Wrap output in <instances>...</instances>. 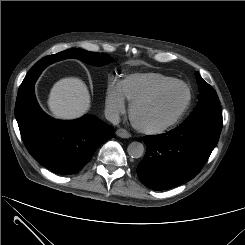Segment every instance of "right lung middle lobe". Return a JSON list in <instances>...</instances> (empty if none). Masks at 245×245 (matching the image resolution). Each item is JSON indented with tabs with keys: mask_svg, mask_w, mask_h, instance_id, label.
<instances>
[{
	"mask_svg": "<svg viewBox=\"0 0 245 245\" xmlns=\"http://www.w3.org/2000/svg\"><path fill=\"white\" fill-rule=\"evenodd\" d=\"M49 56L54 57L56 61L66 58H78L91 64H106L112 61V58L105 53L89 52L79 48L62 51L60 53ZM34 66L38 68V62ZM27 87V83L23 81L19 88L18 95L25 93L28 90Z\"/></svg>",
	"mask_w": 245,
	"mask_h": 245,
	"instance_id": "obj_1",
	"label": "right lung middle lobe"
}]
</instances>
